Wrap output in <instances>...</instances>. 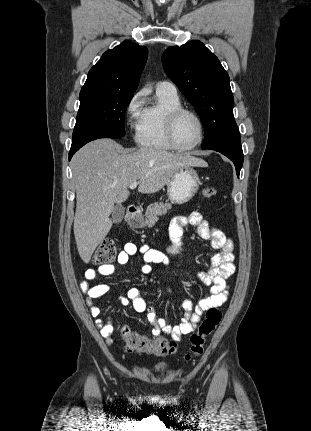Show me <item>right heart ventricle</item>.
I'll list each match as a JSON object with an SVG mask.
<instances>
[{
  "label": "right heart ventricle",
  "instance_id": "right-heart-ventricle-1",
  "mask_svg": "<svg viewBox=\"0 0 311 431\" xmlns=\"http://www.w3.org/2000/svg\"><path fill=\"white\" fill-rule=\"evenodd\" d=\"M157 104L143 110L135 140L145 149L170 151L174 147L167 138L166 119L170 111L183 107L178 94L157 91Z\"/></svg>",
  "mask_w": 311,
  "mask_h": 431
}]
</instances>
